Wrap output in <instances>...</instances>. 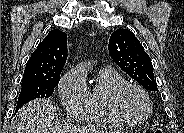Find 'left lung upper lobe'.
I'll list each match as a JSON object with an SVG mask.
<instances>
[{"label": "left lung upper lobe", "mask_w": 184, "mask_h": 133, "mask_svg": "<svg viewBox=\"0 0 184 133\" xmlns=\"http://www.w3.org/2000/svg\"><path fill=\"white\" fill-rule=\"evenodd\" d=\"M109 54L115 63L145 89L156 92L153 66L140 41L128 29H118L109 39Z\"/></svg>", "instance_id": "left-lung-upper-lobe-1"}]
</instances>
